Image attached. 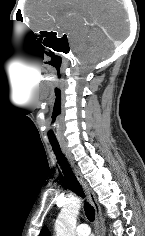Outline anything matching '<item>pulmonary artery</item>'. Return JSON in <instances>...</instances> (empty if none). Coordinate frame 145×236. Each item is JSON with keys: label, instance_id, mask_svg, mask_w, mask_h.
I'll return each instance as SVG.
<instances>
[{"label": "pulmonary artery", "instance_id": "e3ab8cb5", "mask_svg": "<svg viewBox=\"0 0 145 236\" xmlns=\"http://www.w3.org/2000/svg\"><path fill=\"white\" fill-rule=\"evenodd\" d=\"M89 233H90V228L85 223L79 224L76 228L77 236H89Z\"/></svg>", "mask_w": 145, "mask_h": 236}]
</instances>
